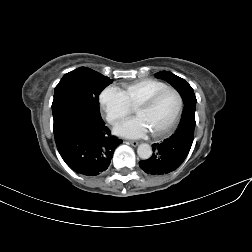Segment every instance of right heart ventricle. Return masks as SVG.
Returning <instances> with one entry per match:
<instances>
[{
	"label": "right heart ventricle",
	"instance_id": "e07e8e85",
	"mask_svg": "<svg viewBox=\"0 0 252 252\" xmlns=\"http://www.w3.org/2000/svg\"><path fill=\"white\" fill-rule=\"evenodd\" d=\"M166 87L168 85L164 82L154 79H143L123 85L120 91L126 97L130 106L134 107L154 92Z\"/></svg>",
	"mask_w": 252,
	"mask_h": 252
}]
</instances>
